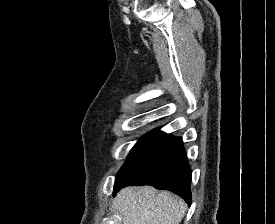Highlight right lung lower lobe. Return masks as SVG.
Instances as JSON below:
<instances>
[{
	"mask_svg": "<svg viewBox=\"0 0 275 224\" xmlns=\"http://www.w3.org/2000/svg\"><path fill=\"white\" fill-rule=\"evenodd\" d=\"M191 174L182 139L156 129L118 172L113 195L125 186L152 185L174 192L191 204Z\"/></svg>",
	"mask_w": 275,
	"mask_h": 224,
	"instance_id": "1",
	"label": "right lung lower lobe"
}]
</instances>
